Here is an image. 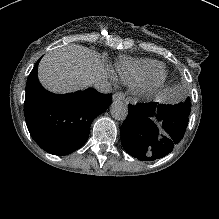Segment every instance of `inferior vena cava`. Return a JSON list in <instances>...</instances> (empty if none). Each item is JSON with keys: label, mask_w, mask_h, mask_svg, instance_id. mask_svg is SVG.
I'll return each instance as SVG.
<instances>
[{"label": "inferior vena cava", "mask_w": 219, "mask_h": 219, "mask_svg": "<svg viewBox=\"0 0 219 219\" xmlns=\"http://www.w3.org/2000/svg\"><path fill=\"white\" fill-rule=\"evenodd\" d=\"M92 85L100 93L108 94L112 92L111 84L101 78L96 79Z\"/></svg>", "instance_id": "inferior-vena-cava-1"}]
</instances>
